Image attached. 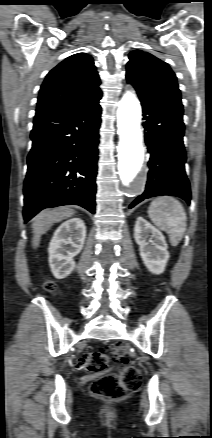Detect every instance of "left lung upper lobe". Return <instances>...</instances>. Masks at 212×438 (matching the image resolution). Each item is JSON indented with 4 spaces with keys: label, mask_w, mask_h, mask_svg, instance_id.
<instances>
[{
    "label": "left lung upper lobe",
    "mask_w": 212,
    "mask_h": 438,
    "mask_svg": "<svg viewBox=\"0 0 212 438\" xmlns=\"http://www.w3.org/2000/svg\"><path fill=\"white\" fill-rule=\"evenodd\" d=\"M126 78L137 93L183 107L174 72L165 62L141 50L132 51Z\"/></svg>",
    "instance_id": "1"
}]
</instances>
